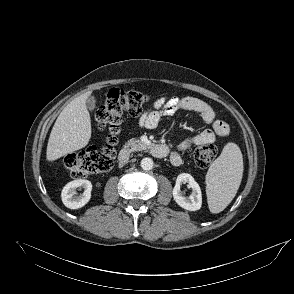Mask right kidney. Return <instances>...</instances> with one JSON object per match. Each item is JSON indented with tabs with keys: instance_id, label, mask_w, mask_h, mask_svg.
Listing matches in <instances>:
<instances>
[{
	"instance_id": "1",
	"label": "right kidney",
	"mask_w": 294,
	"mask_h": 294,
	"mask_svg": "<svg viewBox=\"0 0 294 294\" xmlns=\"http://www.w3.org/2000/svg\"><path fill=\"white\" fill-rule=\"evenodd\" d=\"M83 187L82 195H76V189ZM92 184L85 179H77L67 183L61 193L63 204L70 209H78L86 205L91 198Z\"/></svg>"
}]
</instances>
